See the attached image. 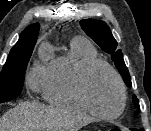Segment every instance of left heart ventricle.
<instances>
[{
  "label": "left heart ventricle",
  "instance_id": "b2bd125f",
  "mask_svg": "<svg viewBox=\"0 0 151 131\" xmlns=\"http://www.w3.org/2000/svg\"><path fill=\"white\" fill-rule=\"evenodd\" d=\"M86 91L92 106L104 114L115 113L120 106V92L113 75L98 68L87 80Z\"/></svg>",
  "mask_w": 151,
  "mask_h": 131
}]
</instances>
